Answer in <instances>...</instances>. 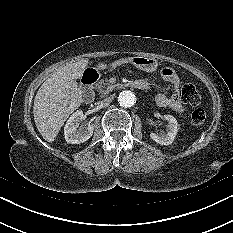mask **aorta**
Listing matches in <instances>:
<instances>
[{
	"label": "aorta",
	"mask_w": 233,
	"mask_h": 233,
	"mask_svg": "<svg viewBox=\"0 0 233 233\" xmlns=\"http://www.w3.org/2000/svg\"><path fill=\"white\" fill-rule=\"evenodd\" d=\"M136 95L131 90H124L118 96V103L122 107H132L136 103Z\"/></svg>",
	"instance_id": "aorta-1"
}]
</instances>
